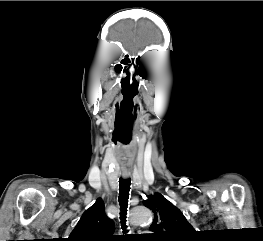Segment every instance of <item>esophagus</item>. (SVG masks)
<instances>
[{"label": "esophagus", "instance_id": "esophagus-1", "mask_svg": "<svg viewBox=\"0 0 263 241\" xmlns=\"http://www.w3.org/2000/svg\"><path fill=\"white\" fill-rule=\"evenodd\" d=\"M123 178L127 179L129 177V172H123L122 173Z\"/></svg>", "mask_w": 263, "mask_h": 241}]
</instances>
